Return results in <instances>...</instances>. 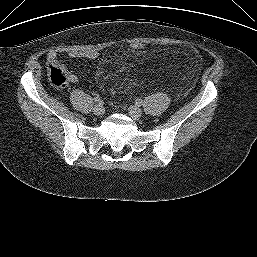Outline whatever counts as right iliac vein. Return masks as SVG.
<instances>
[{"label": "right iliac vein", "mask_w": 257, "mask_h": 257, "mask_svg": "<svg viewBox=\"0 0 257 257\" xmlns=\"http://www.w3.org/2000/svg\"><path fill=\"white\" fill-rule=\"evenodd\" d=\"M104 107L101 105V104H97L93 107V113L96 115V116H100L102 114H104Z\"/></svg>", "instance_id": "63e3f726"}]
</instances>
